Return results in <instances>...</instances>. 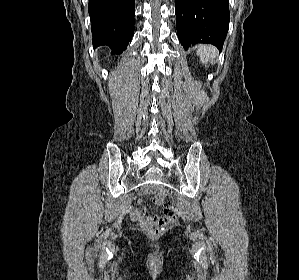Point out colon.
Here are the masks:
<instances>
[{"instance_id":"1","label":"colon","mask_w":299,"mask_h":280,"mask_svg":"<svg viewBox=\"0 0 299 280\" xmlns=\"http://www.w3.org/2000/svg\"><path fill=\"white\" fill-rule=\"evenodd\" d=\"M154 202L164 207L163 214L151 218L147 227L151 235H158L165 226L175 223L177 217L173 206V200L164 191L161 190L155 196Z\"/></svg>"}]
</instances>
